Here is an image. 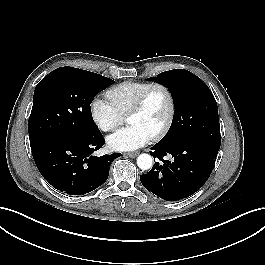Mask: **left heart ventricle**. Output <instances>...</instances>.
<instances>
[{"mask_svg":"<svg viewBox=\"0 0 265 265\" xmlns=\"http://www.w3.org/2000/svg\"><path fill=\"white\" fill-rule=\"evenodd\" d=\"M167 111V97L162 90L156 89L149 96L142 111L130 115L127 122L138 125L153 135L163 124Z\"/></svg>","mask_w":265,"mask_h":265,"instance_id":"b2bd125f","label":"left heart ventricle"}]
</instances>
